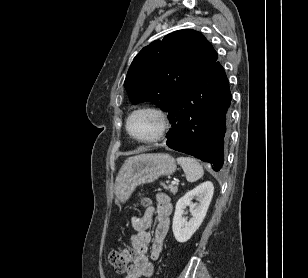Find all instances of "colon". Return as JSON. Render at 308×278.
<instances>
[{
    "label": "colon",
    "mask_w": 308,
    "mask_h": 278,
    "mask_svg": "<svg viewBox=\"0 0 308 278\" xmlns=\"http://www.w3.org/2000/svg\"><path fill=\"white\" fill-rule=\"evenodd\" d=\"M142 206H147L149 200L142 198L140 200ZM135 256V251L132 248H122L110 253L109 262L115 268L117 272H125L127 268L132 264Z\"/></svg>",
    "instance_id": "colon-1"
}]
</instances>
